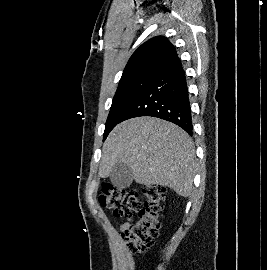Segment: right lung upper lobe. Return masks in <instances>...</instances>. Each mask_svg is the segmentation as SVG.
Returning a JSON list of instances; mask_svg holds the SVG:
<instances>
[{
    "mask_svg": "<svg viewBox=\"0 0 267 270\" xmlns=\"http://www.w3.org/2000/svg\"><path fill=\"white\" fill-rule=\"evenodd\" d=\"M176 58V49L166 37L151 38L132 54L119 84L141 75H156Z\"/></svg>",
    "mask_w": 267,
    "mask_h": 270,
    "instance_id": "obj_1",
    "label": "right lung upper lobe"
}]
</instances>
